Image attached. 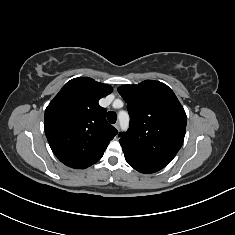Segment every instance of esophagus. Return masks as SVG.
Segmentation results:
<instances>
[{"mask_svg": "<svg viewBox=\"0 0 235 235\" xmlns=\"http://www.w3.org/2000/svg\"><path fill=\"white\" fill-rule=\"evenodd\" d=\"M114 127H115L117 130H119V129H120V124H119V122H116V123L114 124Z\"/></svg>", "mask_w": 235, "mask_h": 235, "instance_id": "1", "label": "esophagus"}]
</instances>
